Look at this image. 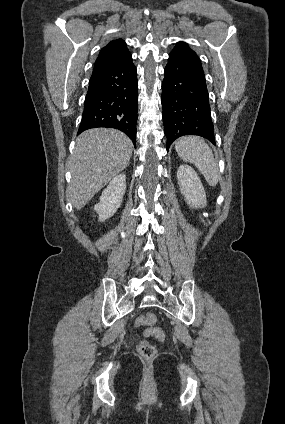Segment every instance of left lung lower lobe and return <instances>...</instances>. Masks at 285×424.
<instances>
[{
	"instance_id": "left-lung-lower-lobe-1",
	"label": "left lung lower lobe",
	"mask_w": 285,
	"mask_h": 424,
	"mask_svg": "<svg viewBox=\"0 0 285 424\" xmlns=\"http://www.w3.org/2000/svg\"><path fill=\"white\" fill-rule=\"evenodd\" d=\"M162 82V107L167 146L183 135H199L215 143L209 96L201 61L185 42L169 54Z\"/></svg>"
}]
</instances>
